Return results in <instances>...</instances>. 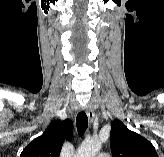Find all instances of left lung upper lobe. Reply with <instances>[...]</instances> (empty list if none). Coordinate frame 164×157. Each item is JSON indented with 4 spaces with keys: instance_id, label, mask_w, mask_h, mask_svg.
Listing matches in <instances>:
<instances>
[{
    "instance_id": "left-lung-upper-lobe-1",
    "label": "left lung upper lobe",
    "mask_w": 164,
    "mask_h": 157,
    "mask_svg": "<svg viewBox=\"0 0 164 157\" xmlns=\"http://www.w3.org/2000/svg\"><path fill=\"white\" fill-rule=\"evenodd\" d=\"M110 145L112 157H158L151 142L119 120L111 123Z\"/></svg>"
}]
</instances>
